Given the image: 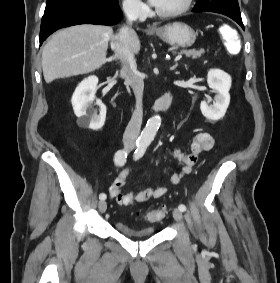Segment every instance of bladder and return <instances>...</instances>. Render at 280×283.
Masks as SVG:
<instances>
[{
  "label": "bladder",
  "mask_w": 280,
  "mask_h": 283,
  "mask_svg": "<svg viewBox=\"0 0 280 283\" xmlns=\"http://www.w3.org/2000/svg\"><path fill=\"white\" fill-rule=\"evenodd\" d=\"M115 227L121 235L131 239L147 238L155 234V227L152 225L132 227L125 222L118 221Z\"/></svg>",
  "instance_id": "1"
}]
</instances>
